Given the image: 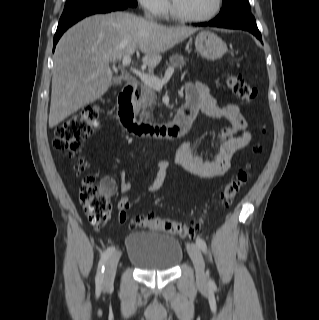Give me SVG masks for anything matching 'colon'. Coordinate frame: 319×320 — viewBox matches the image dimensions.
Instances as JSON below:
<instances>
[{"label":"colon","instance_id":"1","mask_svg":"<svg viewBox=\"0 0 319 320\" xmlns=\"http://www.w3.org/2000/svg\"><path fill=\"white\" fill-rule=\"evenodd\" d=\"M227 86L242 101H252L257 95V89L247 80L238 76H229ZM100 118V106L88 104L78 113L57 127L53 140L54 147L65 154L74 157L80 172L87 169V163L78 154L80 143L91 136L98 128ZM253 152L261 151L260 145L253 147ZM249 173L247 170H239L237 174L223 187L219 194V201L223 206H229L236 194L247 184ZM115 190V183L111 178L105 177L96 183L92 176H87L80 189V202L91 224L105 225L111 214L109 196ZM127 219L126 211L119 212L120 222ZM131 227L163 231L184 238L193 237L200 230L199 223H187L163 216H138L131 223Z\"/></svg>","mask_w":319,"mask_h":320}]
</instances>
